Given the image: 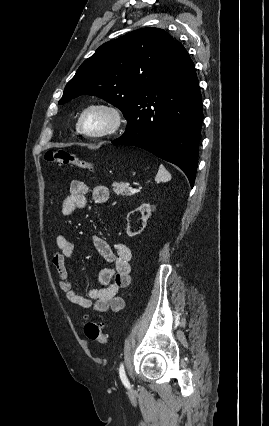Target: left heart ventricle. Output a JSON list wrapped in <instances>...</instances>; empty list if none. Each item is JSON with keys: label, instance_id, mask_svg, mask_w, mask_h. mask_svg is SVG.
I'll return each instance as SVG.
<instances>
[{"label": "left heart ventricle", "instance_id": "1", "mask_svg": "<svg viewBox=\"0 0 269 426\" xmlns=\"http://www.w3.org/2000/svg\"><path fill=\"white\" fill-rule=\"evenodd\" d=\"M109 123V117L102 111H91L84 118V127L88 131H99Z\"/></svg>", "mask_w": 269, "mask_h": 426}]
</instances>
